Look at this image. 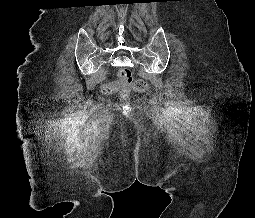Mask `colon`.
<instances>
[{
	"label": "colon",
	"instance_id": "5ec220e1",
	"mask_svg": "<svg viewBox=\"0 0 255 218\" xmlns=\"http://www.w3.org/2000/svg\"><path fill=\"white\" fill-rule=\"evenodd\" d=\"M117 78V87H107V91H114L120 88L122 95H127L131 90L142 92L147 88V84L143 80L135 79L128 68H120L117 72Z\"/></svg>",
	"mask_w": 255,
	"mask_h": 218
}]
</instances>
